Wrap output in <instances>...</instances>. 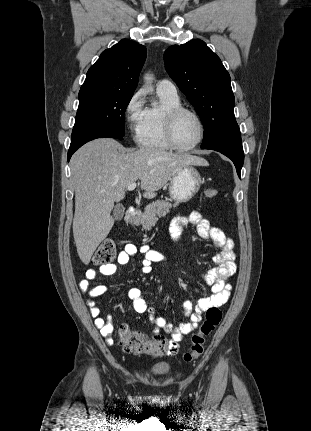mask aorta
Segmentation results:
<instances>
[{"instance_id": "1", "label": "aorta", "mask_w": 311, "mask_h": 431, "mask_svg": "<svg viewBox=\"0 0 311 431\" xmlns=\"http://www.w3.org/2000/svg\"><path fill=\"white\" fill-rule=\"evenodd\" d=\"M144 80H145L146 84H151V82H153V80H154L153 74H145ZM152 106H157V104H152Z\"/></svg>"}]
</instances>
